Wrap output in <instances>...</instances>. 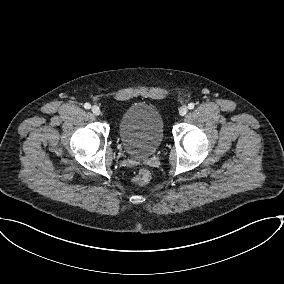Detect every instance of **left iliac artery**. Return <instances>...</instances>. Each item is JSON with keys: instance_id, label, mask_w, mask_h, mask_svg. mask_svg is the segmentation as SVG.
<instances>
[{"instance_id": "1", "label": "left iliac artery", "mask_w": 284, "mask_h": 284, "mask_svg": "<svg viewBox=\"0 0 284 284\" xmlns=\"http://www.w3.org/2000/svg\"><path fill=\"white\" fill-rule=\"evenodd\" d=\"M194 107H195V104H194V103H189V104H188V108H189V109H193Z\"/></svg>"}]
</instances>
